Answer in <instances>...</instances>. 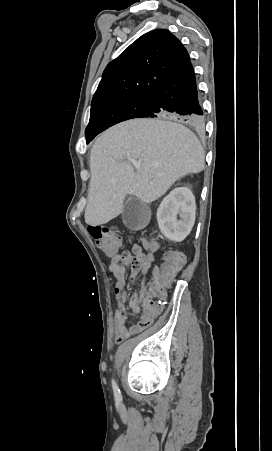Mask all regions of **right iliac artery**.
<instances>
[{
  "label": "right iliac artery",
  "mask_w": 272,
  "mask_h": 451,
  "mask_svg": "<svg viewBox=\"0 0 272 451\" xmlns=\"http://www.w3.org/2000/svg\"><path fill=\"white\" fill-rule=\"evenodd\" d=\"M112 386H113V391H114V396L117 400H121L122 396H121V392L120 389L118 388L116 382L114 380H112Z\"/></svg>",
  "instance_id": "right-iliac-artery-1"
}]
</instances>
